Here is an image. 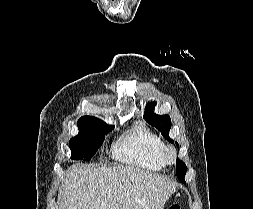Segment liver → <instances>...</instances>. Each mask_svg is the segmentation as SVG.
Returning <instances> with one entry per match:
<instances>
[{"instance_id":"obj_1","label":"liver","mask_w":253,"mask_h":209,"mask_svg":"<svg viewBox=\"0 0 253 209\" xmlns=\"http://www.w3.org/2000/svg\"><path fill=\"white\" fill-rule=\"evenodd\" d=\"M177 184L138 167L73 164L59 191L61 209H164Z\"/></svg>"}]
</instances>
